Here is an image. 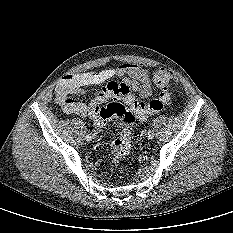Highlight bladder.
<instances>
[{"label":"bladder","instance_id":"31cf9c89","mask_svg":"<svg viewBox=\"0 0 233 233\" xmlns=\"http://www.w3.org/2000/svg\"><path fill=\"white\" fill-rule=\"evenodd\" d=\"M116 126L117 127H122L123 126V120L121 118H119L118 121L116 122Z\"/></svg>","mask_w":233,"mask_h":233}]
</instances>
